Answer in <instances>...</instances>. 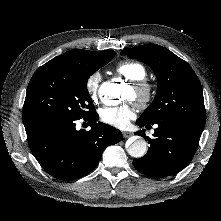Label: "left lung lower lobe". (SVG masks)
<instances>
[{"label":"left lung lower lobe","instance_id":"1","mask_svg":"<svg viewBox=\"0 0 221 221\" xmlns=\"http://www.w3.org/2000/svg\"><path fill=\"white\" fill-rule=\"evenodd\" d=\"M136 123L140 127L153 125L139 120ZM154 124L158 127L152 139L145 135L144 130L135 133L146 138L150 147L145 156L133 161V165L148 176L165 177L176 174L192 160L204 127L173 120Z\"/></svg>","mask_w":221,"mask_h":221}]
</instances>
